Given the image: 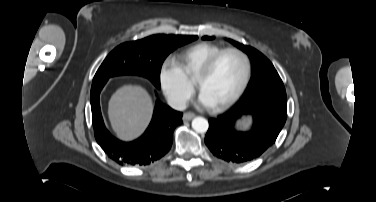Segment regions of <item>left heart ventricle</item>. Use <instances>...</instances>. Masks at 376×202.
Masks as SVG:
<instances>
[{
    "label": "left heart ventricle",
    "instance_id": "1",
    "mask_svg": "<svg viewBox=\"0 0 376 202\" xmlns=\"http://www.w3.org/2000/svg\"><path fill=\"white\" fill-rule=\"evenodd\" d=\"M244 75L242 59L232 53L223 55L211 74L201 83L200 90L212 106L229 99L239 88Z\"/></svg>",
    "mask_w": 376,
    "mask_h": 202
}]
</instances>
